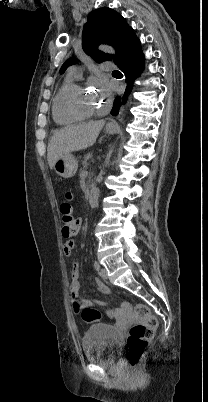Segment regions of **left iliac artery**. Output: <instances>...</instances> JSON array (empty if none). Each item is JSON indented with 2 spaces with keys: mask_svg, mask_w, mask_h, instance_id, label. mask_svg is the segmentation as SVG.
Instances as JSON below:
<instances>
[{
  "mask_svg": "<svg viewBox=\"0 0 208 402\" xmlns=\"http://www.w3.org/2000/svg\"><path fill=\"white\" fill-rule=\"evenodd\" d=\"M94 268H95V270L96 271H99V269H100V265H99V263L97 262V261H94Z\"/></svg>",
  "mask_w": 208,
  "mask_h": 402,
  "instance_id": "left-iliac-artery-1",
  "label": "left iliac artery"
}]
</instances>
